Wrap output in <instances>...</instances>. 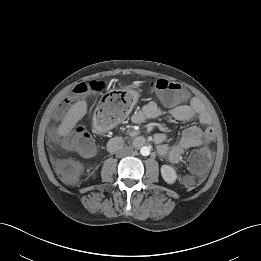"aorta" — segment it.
Here are the masks:
<instances>
[{
	"instance_id": "1",
	"label": "aorta",
	"mask_w": 261,
	"mask_h": 261,
	"mask_svg": "<svg viewBox=\"0 0 261 261\" xmlns=\"http://www.w3.org/2000/svg\"><path fill=\"white\" fill-rule=\"evenodd\" d=\"M140 153H141V155H143V156H147V155L150 154V148L147 147V146H143V147H141V149H140Z\"/></svg>"
}]
</instances>
